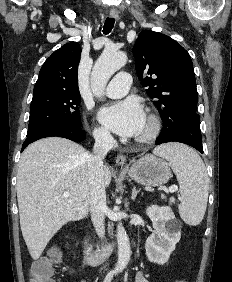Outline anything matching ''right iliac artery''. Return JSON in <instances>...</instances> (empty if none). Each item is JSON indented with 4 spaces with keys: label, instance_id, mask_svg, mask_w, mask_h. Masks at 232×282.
Masks as SVG:
<instances>
[{
    "label": "right iliac artery",
    "instance_id": "right-iliac-artery-1",
    "mask_svg": "<svg viewBox=\"0 0 232 282\" xmlns=\"http://www.w3.org/2000/svg\"><path fill=\"white\" fill-rule=\"evenodd\" d=\"M114 275V272H109L104 280V282H110L112 277Z\"/></svg>",
    "mask_w": 232,
    "mask_h": 282
}]
</instances>
